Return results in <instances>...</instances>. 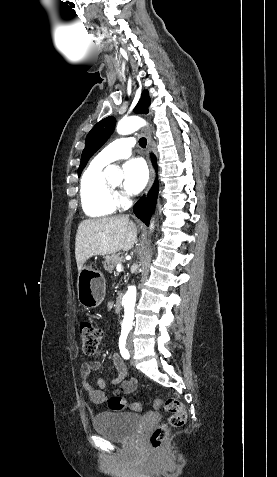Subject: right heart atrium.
<instances>
[{"mask_svg": "<svg viewBox=\"0 0 277 477\" xmlns=\"http://www.w3.org/2000/svg\"><path fill=\"white\" fill-rule=\"evenodd\" d=\"M118 201L121 203V204H124L127 202V199L126 197L122 196V195H119L118 196Z\"/></svg>", "mask_w": 277, "mask_h": 477, "instance_id": "right-heart-atrium-1", "label": "right heart atrium"}]
</instances>
